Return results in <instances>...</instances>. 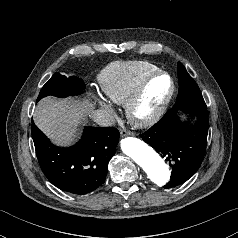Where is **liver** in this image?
I'll use <instances>...</instances> for the list:
<instances>
[{
  "label": "liver",
  "mask_w": 238,
  "mask_h": 238,
  "mask_svg": "<svg viewBox=\"0 0 238 238\" xmlns=\"http://www.w3.org/2000/svg\"><path fill=\"white\" fill-rule=\"evenodd\" d=\"M84 107L75 102H64L52 97L39 101L35 112V124L59 144H70L83 119Z\"/></svg>",
  "instance_id": "1"
}]
</instances>
